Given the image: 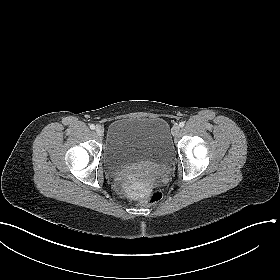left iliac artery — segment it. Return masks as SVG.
<instances>
[{"instance_id": "left-iliac-artery-1", "label": "left iliac artery", "mask_w": 280, "mask_h": 280, "mask_svg": "<svg viewBox=\"0 0 280 280\" xmlns=\"http://www.w3.org/2000/svg\"><path fill=\"white\" fill-rule=\"evenodd\" d=\"M184 125H185V122H180V123H179V126H180V127H184Z\"/></svg>"}]
</instances>
